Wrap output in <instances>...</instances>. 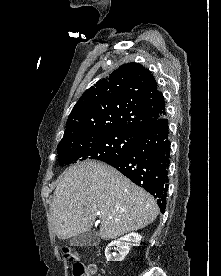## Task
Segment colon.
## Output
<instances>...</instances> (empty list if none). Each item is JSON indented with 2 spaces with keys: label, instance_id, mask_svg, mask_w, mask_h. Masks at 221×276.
I'll list each match as a JSON object with an SVG mask.
<instances>
[{
  "label": "colon",
  "instance_id": "1",
  "mask_svg": "<svg viewBox=\"0 0 221 276\" xmlns=\"http://www.w3.org/2000/svg\"><path fill=\"white\" fill-rule=\"evenodd\" d=\"M63 257L66 261L73 263V276H93L96 272L94 265L85 267L79 263L77 253L69 248L63 250Z\"/></svg>",
  "mask_w": 221,
  "mask_h": 276
}]
</instances>
